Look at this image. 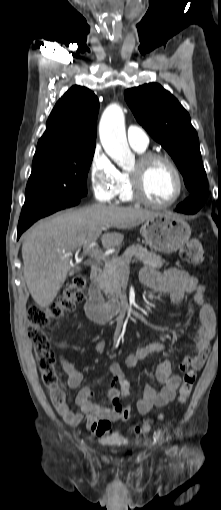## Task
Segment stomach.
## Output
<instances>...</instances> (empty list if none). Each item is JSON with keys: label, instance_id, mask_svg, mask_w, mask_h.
Returning <instances> with one entry per match:
<instances>
[{"label": "stomach", "instance_id": "obj_1", "mask_svg": "<svg viewBox=\"0 0 221 510\" xmlns=\"http://www.w3.org/2000/svg\"><path fill=\"white\" fill-rule=\"evenodd\" d=\"M142 234L155 251L171 254L180 249L190 238L191 228L180 216L160 213L147 219L142 226Z\"/></svg>", "mask_w": 221, "mask_h": 510}]
</instances>
